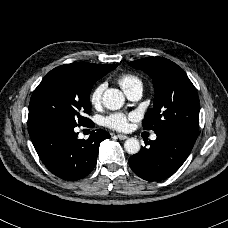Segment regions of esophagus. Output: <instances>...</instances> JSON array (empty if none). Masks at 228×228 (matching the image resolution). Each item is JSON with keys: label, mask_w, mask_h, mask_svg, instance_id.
<instances>
[{"label": "esophagus", "mask_w": 228, "mask_h": 228, "mask_svg": "<svg viewBox=\"0 0 228 228\" xmlns=\"http://www.w3.org/2000/svg\"><path fill=\"white\" fill-rule=\"evenodd\" d=\"M117 137H118L120 140H126V139H128V136H127V135H124V134H118Z\"/></svg>", "instance_id": "obj_1"}]
</instances>
